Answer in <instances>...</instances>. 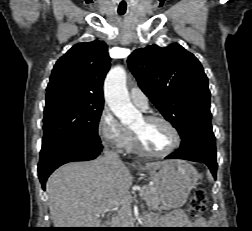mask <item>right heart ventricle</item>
I'll return each instance as SVG.
<instances>
[{
    "mask_svg": "<svg viewBox=\"0 0 252 231\" xmlns=\"http://www.w3.org/2000/svg\"><path fill=\"white\" fill-rule=\"evenodd\" d=\"M126 149H128L129 151H134V146H133V142H132L131 138L126 146Z\"/></svg>",
    "mask_w": 252,
    "mask_h": 231,
    "instance_id": "obj_1",
    "label": "right heart ventricle"
}]
</instances>
